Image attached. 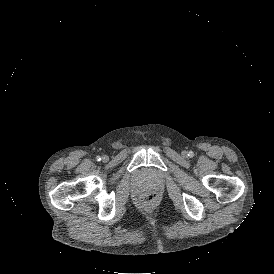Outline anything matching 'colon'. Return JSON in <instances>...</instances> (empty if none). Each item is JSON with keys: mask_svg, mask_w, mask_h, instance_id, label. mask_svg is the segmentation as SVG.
Returning <instances> with one entry per match:
<instances>
[{"mask_svg": "<svg viewBox=\"0 0 274 274\" xmlns=\"http://www.w3.org/2000/svg\"><path fill=\"white\" fill-rule=\"evenodd\" d=\"M160 196L158 194V192L151 190L149 192H144L142 194H140L138 201L140 203V205L144 206V207H150L153 208L155 206H157L158 202H159Z\"/></svg>", "mask_w": 274, "mask_h": 274, "instance_id": "5ec220e1", "label": "colon"}]
</instances>
